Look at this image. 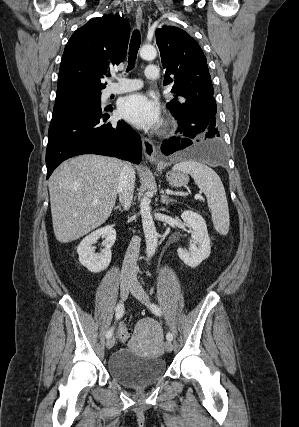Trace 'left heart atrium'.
I'll list each match as a JSON object with an SVG mask.
<instances>
[{"instance_id": "left-heart-atrium-1", "label": "left heart atrium", "mask_w": 299, "mask_h": 427, "mask_svg": "<svg viewBox=\"0 0 299 427\" xmlns=\"http://www.w3.org/2000/svg\"><path fill=\"white\" fill-rule=\"evenodd\" d=\"M119 112L126 121L143 129L155 128L161 121L159 105L141 93L122 99Z\"/></svg>"}]
</instances>
